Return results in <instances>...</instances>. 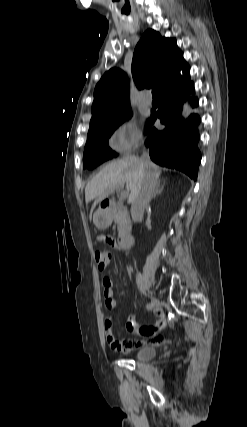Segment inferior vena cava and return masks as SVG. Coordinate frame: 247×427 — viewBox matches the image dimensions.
<instances>
[{"label": "inferior vena cava", "instance_id": "inferior-vena-cava-1", "mask_svg": "<svg viewBox=\"0 0 247 427\" xmlns=\"http://www.w3.org/2000/svg\"><path fill=\"white\" fill-rule=\"evenodd\" d=\"M141 161L144 166L142 186L133 198L131 204V216L134 222L143 217L144 210L148 206L157 188V179L150 170L151 161L147 152H143Z\"/></svg>", "mask_w": 247, "mask_h": 427}]
</instances>
